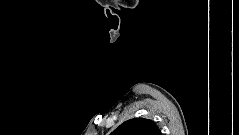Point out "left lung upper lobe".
Returning <instances> with one entry per match:
<instances>
[{"mask_svg": "<svg viewBox=\"0 0 239 135\" xmlns=\"http://www.w3.org/2000/svg\"><path fill=\"white\" fill-rule=\"evenodd\" d=\"M111 135H161V131L152 120L134 118L123 122Z\"/></svg>", "mask_w": 239, "mask_h": 135, "instance_id": "5c2ea615", "label": "left lung upper lobe"}]
</instances>
